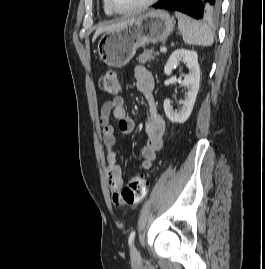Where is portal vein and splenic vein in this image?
Instances as JSON below:
<instances>
[{
    "label": "portal vein and splenic vein",
    "instance_id": "portal-vein-and-splenic-vein-1",
    "mask_svg": "<svg viewBox=\"0 0 265 269\" xmlns=\"http://www.w3.org/2000/svg\"><path fill=\"white\" fill-rule=\"evenodd\" d=\"M166 51H167V48L166 47H161L160 48V52L165 53Z\"/></svg>",
    "mask_w": 265,
    "mask_h": 269
}]
</instances>
